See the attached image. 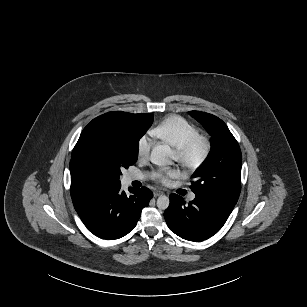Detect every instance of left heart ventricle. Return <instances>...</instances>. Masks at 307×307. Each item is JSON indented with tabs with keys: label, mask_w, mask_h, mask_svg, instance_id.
<instances>
[{
	"label": "left heart ventricle",
	"mask_w": 307,
	"mask_h": 307,
	"mask_svg": "<svg viewBox=\"0 0 307 307\" xmlns=\"http://www.w3.org/2000/svg\"><path fill=\"white\" fill-rule=\"evenodd\" d=\"M171 159H172V161L176 160V157L173 153L171 154Z\"/></svg>",
	"instance_id": "b2bd125f"
}]
</instances>
